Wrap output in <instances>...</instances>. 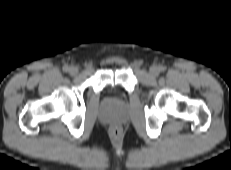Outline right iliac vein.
I'll return each instance as SVG.
<instances>
[{
	"label": "right iliac vein",
	"mask_w": 231,
	"mask_h": 170,
	"mask_svg": "<svg viewBox=\"0 0 231 170\" xmlns=\"http://www.w3.org/2000/svg\"><path fill=\"white\" fill-rule=\"evenodd\" d=\"M78 72H79V70H78V67H76V66H71V67L69 68V73H70L71 75H76V74H78Z\"/></svg>",
	"instance_id": "63e3f726"
}]
</instances>
